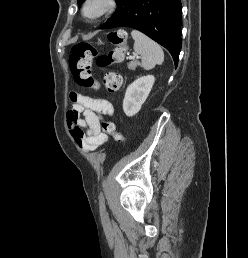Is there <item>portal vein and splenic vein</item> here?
I'll return each instance as SVG.
<instances>
[{
	"label": "portal vein and splenic vein",
	"instance_id": "obj_1",
	"mask_svg": "<svg viewBox=\"0 0 248 258\" xmlns=\"http://www.w3.org/2000/svg\"><path fill=\"white\" fill-rule=\"evenodd\" d=\"M135 56H129L128 58L131 60V59H133Z\"/></svg>",
	"mask_w": 248,
	"mask_h": 258
}]
</instances>
